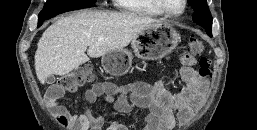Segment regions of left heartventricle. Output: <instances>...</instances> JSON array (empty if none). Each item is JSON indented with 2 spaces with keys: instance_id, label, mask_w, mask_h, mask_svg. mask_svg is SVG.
Segmentation results:
<instances>
[{
  "instance_id": "b2bd125f",
  "label": "left heart ventricle",
  "mask_w": 257,
  "mask_h": 130,
  "mask_svg": "<svg viewBox=\"0 0 257 130\" xmlns=\"http://www.w3.org/2000/svg\"><path fill=\"white\" fill-rule=\"evenodd\" d=\"M165 8L171 12H179L183 6V0H161Z\"/></svg>"
}]
</instances>
